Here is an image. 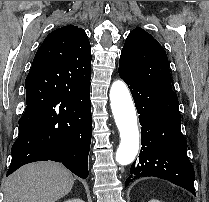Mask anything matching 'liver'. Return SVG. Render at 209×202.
Segmentation results:
<instances>
[{"mask_svg": "<svg viewBox=\"0 0 209 202\" xmlns=\"http://www.w3.org/2000/svg\"><path fill=\"white\" fill-rule=\"evenodd\" d=\"M74 185L72 173L54 162L21 167L4 184V202H56Z\"/></svg>", "mask_w": 209, "mask_h": 202, "instance_id": "liver-1", "label": "liver"}]
</instances>
